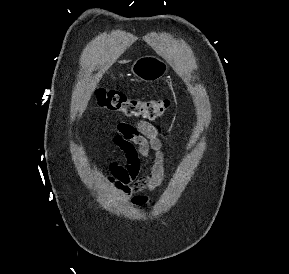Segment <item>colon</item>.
I'll return each instance as SVG.
<instances>
[{
	"instance_id": "5ec220e1",
	"label": "colon",
	"mask_w": 289,
	"mask_h": 274,
	"mask_svg": "<svg viewBox=\"0 0 289 274\" xmlns=\"http://www.w3.org/2000/svg\"><path fill=\"white\" fill-rule=\"evenodd\" d=\"M95 96L103 109L149 120L163 116L172 106L171 99L143 100L114 89H99Z\"/></svg>"
}]
</instances>
